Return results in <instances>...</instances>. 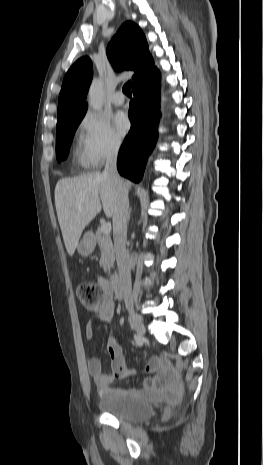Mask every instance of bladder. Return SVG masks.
<instances>
[{"label": "bladder", "mask_w": 263, "mask_h": 465, "mask_svg": "<svg viewBox=\"0 0 263 465\" xmlns=\"http://www.w3.org/2000/svg\"><path fill=\"white\" fill-rule=\"evenodd\" d=\"M98 408L110 416L129 422H143L154 414L152 404L131 394L104 397L98 401Z\"/></svg>", "instance_id": "1"}]
</instances>
